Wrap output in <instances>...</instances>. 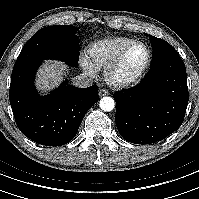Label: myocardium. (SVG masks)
<instances>
[{
  "mask_svg": "<svg viewBox=\"0 0 199 199\" xmlns=\"http://www.w3.org/2000/svg\"><path fill=\"white\" fill-rule=\"evenodd\" d=\"M139 46L143 47L146 52V58L143 63V66L131 78H128V79L118 78L117 72L120 69V67L122 66V64L125 60V57L133 48L139 47ZM151 59H152L151 51L145 43H143V42L131 43L117 55V57L114 59V61L107 68H105L104 75H105V80H106L107 84L109 86H111L113 88H117V89H126V88H130V87L137 85L138 83H140V81L146 75V73L150 67V64H151Z\"/></svg>",
  "mask_w": 199,
  "mask_h": 199,
  "instance_id": "f54148a6",
  "label": "myocardium"
}]
</instances>
